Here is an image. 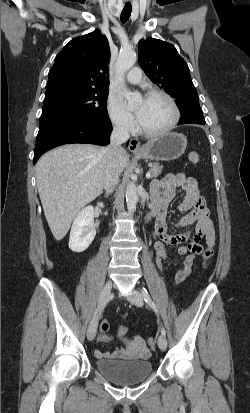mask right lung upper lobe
Returning a JSON list of instances; mask_svg holds the SVG:
<instances>
[{
	"label": "right lung upper lobe",
	"mask_w": 250,
	"mask_h": 413,
	"mask_svg": "<svg viewBox=\"0 0 250 413\" xmlns=\"http://www.w3.org/2000/svg\"><path fill=\"white\" fill-rule=\"evenodd\" d=\"M109 60L108 40L100 31L72 39L55 58L46 92L63 85L109 89Z\"/></svg>",
	"instance_id": "cb5924a9"
}]
</instances>
